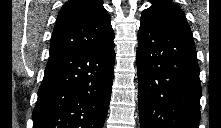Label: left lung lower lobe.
Wrapping results in <instances>:
<instances>
[{
    "mask_svg": "<svg viewBox=\"0 0 221 128\" xmlns=\"http://www.w3.org/2000/svg\"><path fill=\"white\" fill-rule=\"evenodd\" d=\"M136 58L141 128H198L202 91L193 38L141 19Z\"/></svg>",
    "mask_w": 221,
    "mask_h": 128,
    "instance_id": "0a47b994",
    "label": "left lung lower lobe"
}]
</instances>
